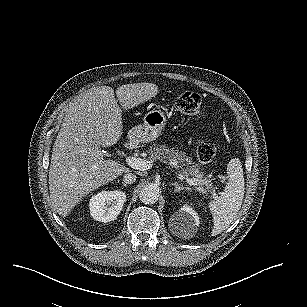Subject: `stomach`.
Segmentation results:
<instances>
[{"instance_id": "0dacf381", "label": "stomach", "mask_w": 307, "mask_h": 307, "mask_svg": "<svg viewBox=\"0 0 307 307\" xmlns=\"http://www.w3.org/2000/svg\"><path fill=\"white\" fill-rule=\"evenodd\" d=\"M167 122L161 110H151L143 117V123L131 128L128 139L133 143H149L157 139Z\"/></svg>"}]
</instances>
